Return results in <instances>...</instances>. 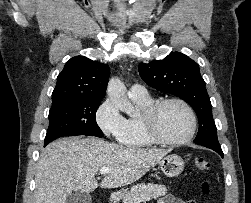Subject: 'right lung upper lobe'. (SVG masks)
Returning a JSON list of instances; mask_svg holds the SVG:
<instances>
[{
    "instance_id": "1",
    "label": "right lung upper lobe",
    "mask_w": 251,
    "mask_h": 203,
    "mask_svg": "<svg viewBox=\"0 0 251 203\" xmlns=\"http://www.w3.org/2000/svg\"><path fill=\"white\" fill-rule=\"evenodd\" d=\"M109 66L84 56L71 58L57 77L52 107L77 100H101L105 96Z\"/></svg>"
}]
</instances>
